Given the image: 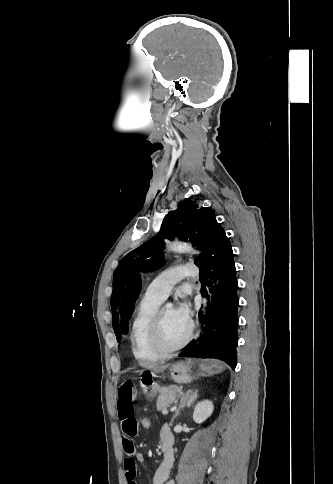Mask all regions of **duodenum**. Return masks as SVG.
Here are the masks:
<instances>
[{
  "label": "duodenum",
  "instance_id": "1",
  "mask_svg": "<svg viewBox=\"0 0 333 484\" xmlns=\"http://www.w3.org/2000/svg\"><path fill=\"white\" fill-rule=\"evenodd\" d=\"M171 450H172L171 444H169V443H163L162 444V452H163L165 461L169 460L170 455H171Z\"/></svg>",
  "mask_w": 333,
  "mask_h": 484
}]
</instances>
